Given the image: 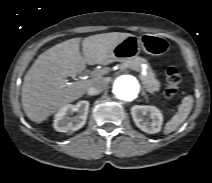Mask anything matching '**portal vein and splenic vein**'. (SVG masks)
<instances>
[{
    "mask_svg": "<svg viewBox=\"0 0 212 183\" xmlns=\"http://www.w3.org/2000/svg\"><path fill=\"white\" fill-rule=\"evenodd\" d=\"M92 74H93V75H97L98 73L95 71V72H93Z\"/></svg>",
    "mask_w": 212,
    "mask_h": 183,
    "instance_id": "obj_1",
    "label": "portal vein and splenic vein"
}]
</instances>
